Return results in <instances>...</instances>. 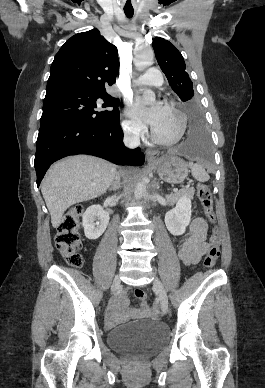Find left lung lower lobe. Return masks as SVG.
Returning <instances> with one entry per match:
<instances>
[{"mask_svg":"<svg viewBox=\"0 0 265 388\" xmlns=\"http://www.w3.org/2000/svg\"><path fill=\"white\" fill-rule=\"evenodd\" d=\"M187 116L188 130L181 151L191 158L209 161L211 158L209 134L199 108L189 109Z\"/></svg>","mask_w":265,"mask_h":388,"instance_id":"obj_1","label":"left lung lower lobe"}]
</instances>
